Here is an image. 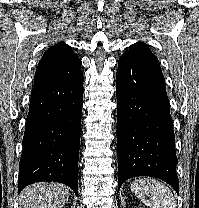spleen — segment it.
Masks as SVG:
<instances>
[{"label": "spleen", "mask_w": 199, "mask_h": 208, "mask_svg": "<svg viewBox=\"0 0 199 208\" xmlns=\"http://www.w3.org/2000/svg\"><path fill=\"white\" fill-rule=\"evenodd\" d=\"M130 189L138 199L151 208H176L170 189L155 179H137L131 184Z\"/></svg>", "instance_id": "3e777b00"}]
</instances>
